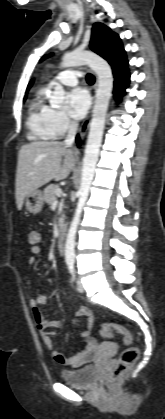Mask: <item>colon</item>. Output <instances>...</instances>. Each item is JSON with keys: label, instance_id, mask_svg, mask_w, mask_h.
Here are the masks:
<instances>
[{"label": "colon", "instance_id": "5ec220e1", "mask_svg": "<svg viewBox=\"0 0 165 419\" xmlns=\"http://www.w3.org/2000/svg\"><path fill=\"white\" fill-rule=\"evenodd\" d=\"M30 241L32 243L38 242L36 233H30ZM113 333L121 335L126 348L121 352L109 375L108 381L110 383H114L121 378L135 364L139 357V348L133 345V336L128 329L115 323H107L103 326L102 335L104 337H111Z\"/></svg>", "mask_w": 165, "mask_h": 419}]
</instances>
